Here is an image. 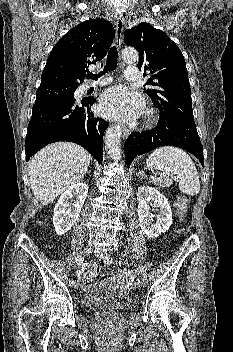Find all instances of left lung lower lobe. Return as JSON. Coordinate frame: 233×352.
Here are the masks:
<instances>
[{"instance_id": "1", "label": "left lung lower lobe", "mask_w": 233, "mask_h": 352, "mask_svg": "<svg viewBox=\"0 0 233 352\" xmlns=\"http://www.w3.org/2000/svg\"><path fill=\"white\" fill-rule=\"evenodd\" d=\"M165 145L176 146L190 152L204 166L203 147L194 120L160 113L155 128L141 133H131L126 139L124 149L127 167H130L136 156Z\"/></svg>"}]
</instances>
